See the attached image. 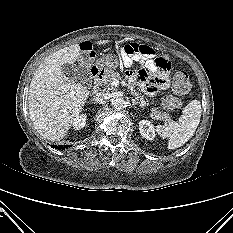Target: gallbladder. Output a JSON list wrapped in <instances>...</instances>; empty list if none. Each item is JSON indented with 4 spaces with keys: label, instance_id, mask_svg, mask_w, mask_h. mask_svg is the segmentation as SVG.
Listing matches in <instances>:
<instances>
[{
    "label": "gallbladder",
    "instance_id": "1",
    "mask_svg": "<svg viewBox=\"0 0 233 233\" xmlns=\"http://www.w3.org/2000/svg\"><path fill=\"white\" fill-rule=\"evenodd\" d=\"M62 72L71 81L89 84V75L85 68L77 64H66L62 66Z\"/></svg>",
    "mask_w": 233,
    "mask_h": 233
}]
</instances>
